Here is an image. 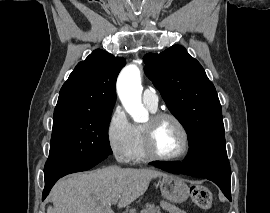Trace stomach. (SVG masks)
I'll return each mask as SVG.
<instances>
[{
  "label": "stomach",
  "instance_id": "1",
  "mask_svg": "<svg viewBox=\"0 0 270 213\" xmlns=\"http://www.w3.org/2000/svg\"><path fill=\"white\" fill-rule=\"evenodd\" d=\"M162 196L174 203L186 200L189 196L188 185L173 175H164L159 182Z\"/></svg>",
  "mask_w": 270,
  "mask_h": 213
}]
</instances>
